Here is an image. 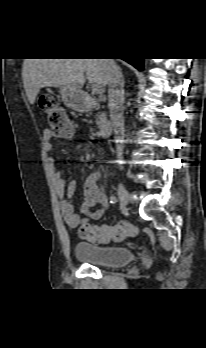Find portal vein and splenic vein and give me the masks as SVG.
Listing matches in <instances>:
<instances>
[{
    "mask_svg": "<svg viewBox=\"0 0 206 348\" xmlns=\"http://www.w3.org/2000/svg\"><path fill=\"white\" fill-rule=\"evenodd\" d=\"M92 90L97 93V94H102L103 93V87L99 84H93L92 85Z\"/></svg>",
    "mask_w": 206,
    "mask_h": 348,
    "instance_id": "18ae733b",
    "label": "portal vein and splenic vein"
}]
</instances>
